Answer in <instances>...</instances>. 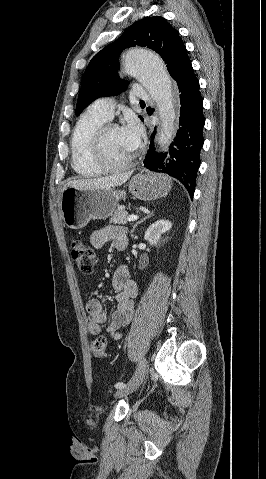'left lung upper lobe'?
I'll use <instances>...</instances> for the list:
<instances>
[{"mask_svg":"<svg viewBox=\"0 0 266 479\" xmlns=\"http://www.w3.org/2000/svg\"><path fill=\"white\" fill-rule=\"evenodd\" d=\"M136 45L156 51L173 79L190 61L178 31L164 18L154 16L137 21L91 59L83 75L76 115L97 98L118 95L127 88L129 83L118 75L119 55L125 48Z\"/></svg>","mask_w":266,"mask_h":479,"instance_id":"1","label":"left lung upper lobe"}]
</instances>
